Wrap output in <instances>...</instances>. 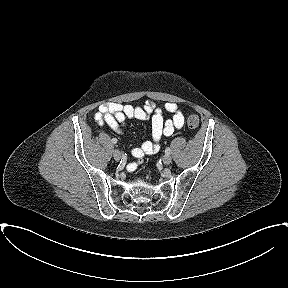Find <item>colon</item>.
Wrapping results in <instances>:
<instances>
[{
	"label": "colon",
	"mask_w": 288,
	"mask_h": 288,
	"mask_svg": "<svg viewBox=\"0 0 288 288\" xmlns=\"http://www.w3.org/2000/svg\"><path fill=\"white\" fill-rule=\"evenodd\" d=\"M187 125L192 130L197 129L199 126V117L195 114H190L187 118Z\"/></svg>",
	"instance_id": "5ec220e1"
}]
</instances>
